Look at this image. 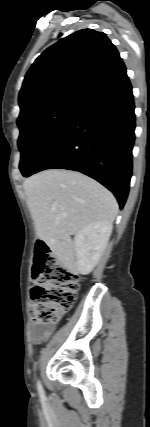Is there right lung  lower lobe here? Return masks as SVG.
<instances>
[{
	"label": "right lung lower lobe",
	"mask_w": 150,
	"mask_h": 427,
	"mask_svg": "<svg viewBox=\"0 0 150 427\" xmlns=\"http://www.w3.org/2000/svg\"><path fill=\"white\" fill-rule=\"evenodd\" d=\"M134 108L125 73L79 105L33 174L52 168L82 172L112 191L123 208L132 175Z\"/></svg>",
	"instance_id": "1"
}]
</instances>
